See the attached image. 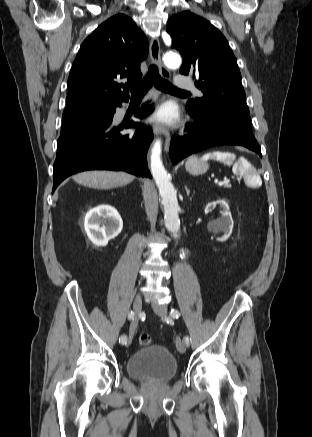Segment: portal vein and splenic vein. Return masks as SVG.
I'll list each match as a JSON object with an SVG mask.
<instances>
[{
    "label": "portal vein and splenic vein",
    "mask_w": 312,
    "mask_h": 437,
    "mask_svg": "<svg viewBox=\"0 0 312 437\" xmlns=\"http://www.w3.org/2000/svg\"><path fill=\"white\" fill-rule=\"evenodd\" d=\"M215 183L218 184V185H223V184L227 183V181L226 180L215 181Z\"/></svg>",
    "instance_id": "1"
}]
</instances>
